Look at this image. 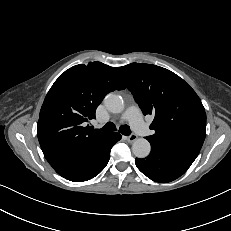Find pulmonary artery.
<instances>
[{
    "label": "pulmonary artery",
    "instance_id": "pulmonary-artery-1",
    "mask_svg": "<svg viewBox=\"0 0 231 231\" xmlns=\"http://www.w3.org/2000/svg\"><path fill=\"white\" fill-rule=\"evenodd\" d=\"M122 121H128L138 134H150L148 125L143 121L141 111L137 106L128 107L121 116Z\"/></svg>",
    "mask_w": 231,
    "mask_h": 231
}]
</instances>
